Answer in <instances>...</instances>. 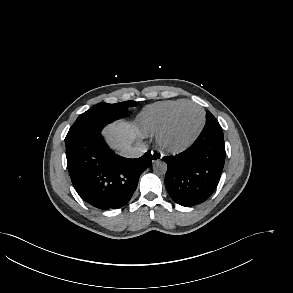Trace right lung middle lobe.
<instances>
[{
	"instance_id": "right-lung-middle-lobe-1",
	"label": "right lung middle lobe",
	"mask_w": 293,
	"mask_h": 293,
	"mask_svg": "<svg viewBox=\"0 0 293 293\" xmlns=\"http://www.w3.org/2000/svg\"><path fill=\"white\" fill-rule=\"evenodd\" d=\"M135 105V101L129 100L116 104L99 103L93 106L77 118L69 129L65 143L81 133L102 128L117 119L129 116L128 107Z\"/></svg>"
}]
</instances>
